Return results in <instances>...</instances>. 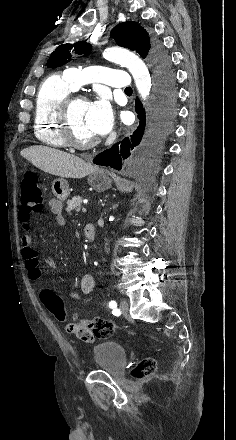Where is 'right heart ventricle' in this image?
<instances>
[{
    "instance_id": "1",
    "label": "right heart ventricle",
    "mask_w": 236,
    "mask_h": 440,
    "mask_svg": "<svg viewBox=\"0 0 236 440\" xmlns=\"http://www.w3.org/2000/svg\"><path fill=\"white\" fill-rule=\"evenodd\" d=\"M74 90L64 75L54 74L41 84L34 109V134L43 144L53 148L66 147L59 133L56 111L61 100Z\"/></svg>"
}]
</instances>
